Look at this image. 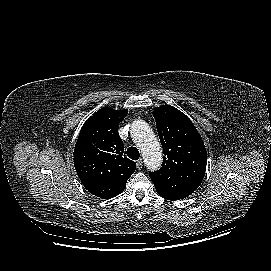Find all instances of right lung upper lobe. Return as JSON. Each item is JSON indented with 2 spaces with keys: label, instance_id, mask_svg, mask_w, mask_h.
Listing matches in <instances>:
<instances>
[{
  "label": "right lung upper lobe",
  "instance_id": "1",
  "mask_svg": "<svg viewBox=\"0 0 271 271\" xmlns=\"http://www.w3.org/2000/svg\"><path fill=\"white\" fill-rule=\"evenodd\" d=\"M128 110L99 109L81 128L74 149V166L81 182L113 183L125 187L136 163L123 157L119 123ZM108 198V197H105Z\"/></svg>",
  "mask_w": 271,
  "mask_h": 271
}]
</instances>
